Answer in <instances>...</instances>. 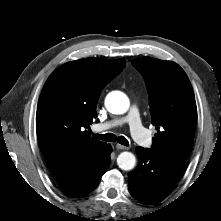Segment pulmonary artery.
<instances>
[{
    "label": "pulmonary artery",
    "instance_id": "obj_1",
    "mask_svg": "<svg viewBox=\"0 0 221 221\" xmlns=\"http://www.w3.org/2000/svg\"><path fill=\"white\" fill-rule=\"evenodd\" d=\"M123 123H128L132 137L143 146H150L151 140L146 128L143 126L138 108L134 105L131 107L129 114L125 117L107 121L97 126L100 130H108L117 127Z\"/></svg>",
    "mask_w": 221,
    "mask_h": 221
}]
</instances>
